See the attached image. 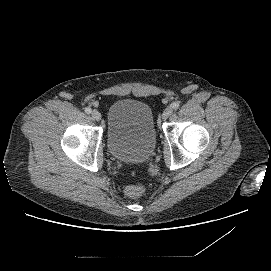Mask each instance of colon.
Segmentation results:
<instances>
[{
  "instance_id": "1",
  "label": "colon",
  "mask_w": 271,
  "mask_h": 271,
  "mask_svg": "<svg viewBox=\"0 0 271 271\" xmlns=\"http://www.w3.org/2000/svg\"><path fill=\"white\" fill-rule=\"evenodd\" d=\"M145 189L146 187L143 183L131 184L125 188V195L128 198L136 199L144 193Z\"/></svg>"
}]
</instances>
